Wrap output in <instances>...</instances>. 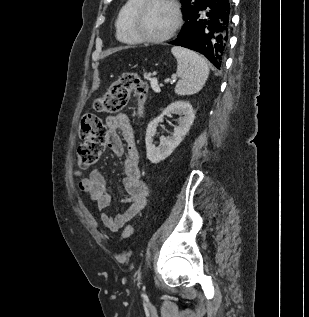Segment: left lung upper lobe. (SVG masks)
<instances>
[{"instance_id": "1", "label": "left lung upper lobe", "mask_w": 309, "mask_h": 317, "mask_svg": "<svg viewBox=\"0 0 309 317\" xmlns=\"http://www.w3.org/2000/svg\"><path fill=\"white\" fill-rule=\"evenodd\" d=\"M204 0H181L182 3V13L185 16L193 8L199 6Z\"/></svg>"}]
</instances>
